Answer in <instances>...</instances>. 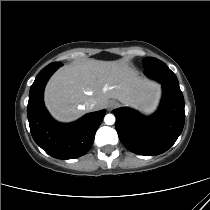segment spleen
<instances>
[{"mask_svg":"<svg viewBox=\"0 0 210 210\" xmlns=\"http://www.w3.org/2000/svg\"><path fill=\"white\" fill-rule=\"evenodd\" d=\"M143 110L146 111V112H150L152 110V108L151 107H144Z\"/></svg>","mask_w":210,"mask_h":210,"instance_id":"3e777b00","label":"spleen"}]
</instances>
